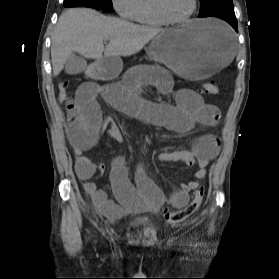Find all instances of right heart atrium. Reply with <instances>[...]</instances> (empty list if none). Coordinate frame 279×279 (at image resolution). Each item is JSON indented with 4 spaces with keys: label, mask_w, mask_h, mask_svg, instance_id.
<instances>
[{
    "label": "right heart atrium",
    "mask_w": 279,
    "mask_h": 279,
    "mask_svg": "<svg viewBox=\"0 0 279 279\" xmlns=\"http://www.w3.org/2000/svg\"><path fill=\"white\" fill-rule=\"evenodd\" d=\"M138 0H112V5L118 15L124 19H134Z\"/></svg>",
    "instance_id": "right-heart-atrium-1"
}]
</instances>
